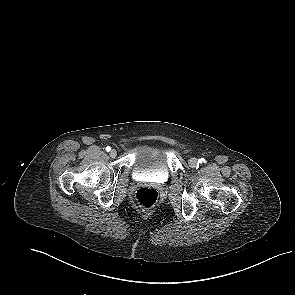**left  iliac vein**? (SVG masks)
Wrapping results in <instances>:
<instances>
[{
	"label": "left iliac vein",
	"instance_id": "left-iliac-vein-1",
	"mask_svg": "<svg viewBox=\"0 0 295 295\" xmlns=\"http://www.w3.org/2000/svg\"><path fill=\"white\" fill-rule=\"evenodd\" d=\"M198 160L196 159V158H191L190 160H189V165H190V167H192V168H196L197 166H198Z\"/></svg>",
	"mask_w": 295,
	"mask_h": 295
}]
</instances>
